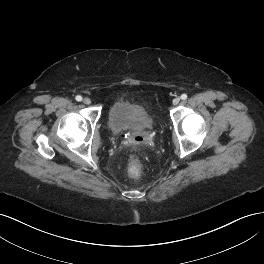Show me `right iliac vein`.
Instances as JSON below:
<instances>
[{"label": "right iliac vein", "instance_id": "right-iliac-vein-1", "mask_svg": "<svg viewBox=\"0 0 264 264\" xmlns=\"http://www.w3.org/2000/svg\"><path fill=\"white\" fill-rule=\"evenodd\" d=\"M83 103L86 104V105H89V104H91V100L86 97V98L83 99Z\"/></svg>", "mask_w": 264, "mask_h": 264}]
</instances>
